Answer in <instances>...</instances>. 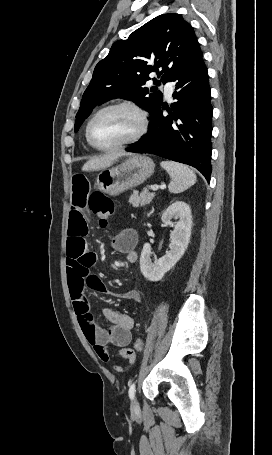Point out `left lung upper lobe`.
Returning a JSON list of instances; mask_svg holds the SVG:
<instances>
[{
  "instance_id": "left-lung-upper-lobe-1",
  "label": "left lung upper lobe",
  "mask_w": 272,
  "mask_h": 455,
  "mask_svg": "<svg viewBox=\"0 0 272 455\" xmlns=\"http://www.w3.org/2000/svg\"><path fill=\"white\" fill-rule=\"evenodd\" d=\"M200 56L193 28L180 15L162 14L150 20L128 39L115 42L96 65L76 115L75 132L94 107L113 98L131 99L151 114L163 95L156 86L144 87L149 75L157 73L154 84H164Z\"/></svg>"
}]
</instances>
